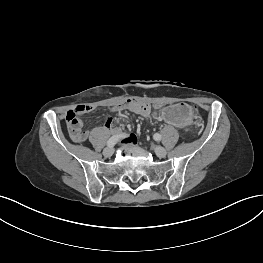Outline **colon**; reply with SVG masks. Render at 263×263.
<instances>
[{"mask_svg":"<svg viewBox=\"0 0 263 263\" xmlns=\"http://www.w3.org/2000/svg\"><path fill=\"white\" fill-rule=\"evenodd\" d=\"M142 104H145V103H142ZM145 105H148V104H145ZM66 124H67V129L70 134V137L74 141L80 142L86 138V131L83 129V122L80 116L76 112L69 111L67 113Z\"/></svg>","mask_w":263,"mask_h":263,"instance_id":"colon-1","label":"colon"}]
</instances>
